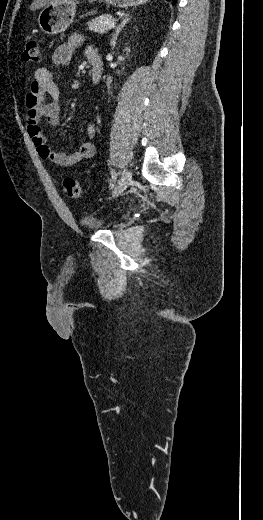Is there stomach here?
I'll return each mask as SVG.
<instances>
[{
  "label": "stomach",
  "mask_w": 263,
  "mask_h": 520,
  "mask_svg": "<svg viewBox=\"0 0 263 520\" xmlns=\"http://www.w3.org/2000/svg\"><path fill=\"white\" fill-rule=\"evenodd\" d=\"M108 5L119 8L138 6L148 0H104ZM76 0H66L62 3L45 6L38 16L41 30L48 35H56L65 31L73 22L76 14Z\"/></svg>",
  "instance_id": "stomach-1"
}]
</instances>
